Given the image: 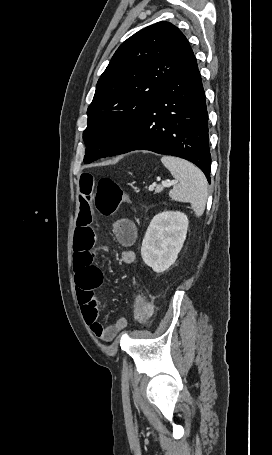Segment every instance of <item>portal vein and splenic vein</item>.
<instances>
[{"mask_svg":"<svg viewBox=\"0 0 272 455\" xmlns=\"http://www.w3.org/2000/svg\"><path fill=\"white\" fill-rule=\"evenodd\" d=\"M177 182L176 181H171V182H168V181H162V186L163 187H170L172 185H175Z\"/></svg>","mask_w":272,"mask_h":455,"instance_id":"obj_1","label":"portal vein and splenic vein"}]
</instances>
